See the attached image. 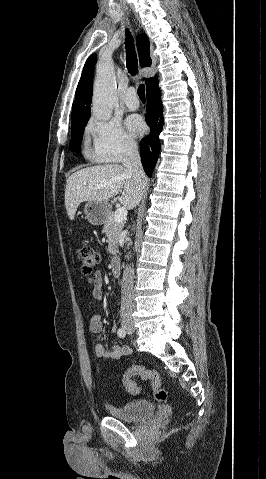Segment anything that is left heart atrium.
Returning a JSON list of instances; mask_svg holds the SVG:
<instances>
[{
  "label": "left heart atrium",
  "instance_id": "left-heart-atrium-1",
  "mask_svg": "<svg viewBox=\"0 0 266 479\" xmlns=\"http://www.w3.org/2000/svg\"><path fill=\"white\" fill-rule=\"evenodd\" d=\"M129 131L133 135H141L145 130V124L142 118L138 115H131L126 121Z\"/></svg>",
  "mask_w": 266,
  "mask_h": 479
}]
</instances>
